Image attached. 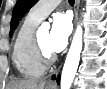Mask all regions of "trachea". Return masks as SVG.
Here are the masks:
<instances>
[{
    "label": "trachea",
    "mask_w": 107,
    "mask_h": 89,
    "mask_svg": "<svg viewBox=\"0 0 107 89\" xmlns=\"http://www.w3.org/2000/svg\"><path fill=\"white\" fill-rule=\"evenodd\" d=\"M75 1L74 0H69L70 5H74Z\"/></svg>",
    "instance_id": "1"
}]
</instances>
